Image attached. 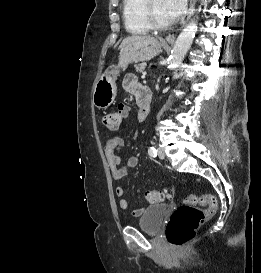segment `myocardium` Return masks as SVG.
<instances>
[{
	"label": "myocardium",
	"instance_id": "obj_1",
	"mask_svg": "<svg viewBox=\"0 0 261 273\" xmlns=\"http://www.w3.org/2000/svg\"><path fill=\"white\" fill-rule=\"evenodd\" d=\"M153 1L154 0H145L144 2V17L148 25L153 30H167L170 28L171 24L161 23L157 20L154 10H153Z\"/></svg>",
	"mask_w": 261,
	"mask_h": 273
}]
</instances>
